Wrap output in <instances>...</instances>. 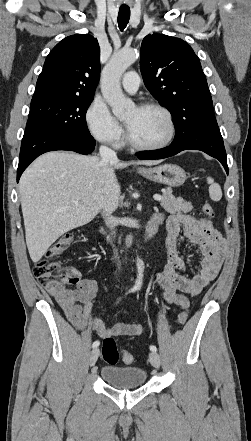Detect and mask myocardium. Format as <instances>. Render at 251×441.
I'll list each match as a JSON object with an SVG mask.
<instances>
[{"label": "myocardium", "mask_w": 251, "mask_h": 441, "mask_svg": "<svg viewBox=\"0 0 251 441\" xmlns=\"http://www.w3.org/2000/svg\"><path fill=\"white\" fill-rule=\"evenodd\" d=\"M138 108L139 109H156V110H159L160 112H162L167 119V122L169 125V133H168L167 137L160 143L143 144V143H140L137 140H135V138L132 136L128 127H126V140H127V142L135 149L144 150V151L160 150V149L167 147L173 141L175 134H176V125H175V121H174L173 115L170 112V110L168 108H166L165 106H163L162 104L156 103V102H145V103L140 104L138 106Z\"/></svg>", "instance_id": "f54148a6"}]
</instances>
